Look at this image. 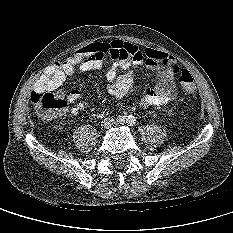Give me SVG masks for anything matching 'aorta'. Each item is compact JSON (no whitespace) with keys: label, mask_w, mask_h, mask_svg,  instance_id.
Masks as SVG:
<instances>
[{"label":"aorta","mask_w":233,"mask_h":233,"mask_svg":"<svg viewBox=\"0 0 233 233\" xmlns=\"http://www.w3.org/2000/svg\"><path fill=\"white\" fill-rule=\"evenodd\" d=\"M135 121H136V119H135L134 116H129L128 120H127V123L130 124V125H133V124H135Z\"/></svg>","instance_id":"aorta-1"}]
</instances>
